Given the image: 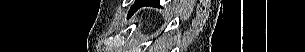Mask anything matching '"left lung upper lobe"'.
Returning a JSON list of instances; mask_svg holds the SVG:
<instances>
[{"label":"left lung upper lobe","instance_id":"left-lung-upper-lobe-1","mask_svg":"<svg viewBox=\"0 0 305 52\" xmlns=\"http://www.w3.org/2000/svg\"><path fill=\"white\" fill-rule=\"evenodd\" d=\"M140 1L141 0H137L135 2V4L131 7L130 11H129V15H131L139 6H140Z\"/></svg>","mask_w":305,"mask_h":52}]
</instances>
